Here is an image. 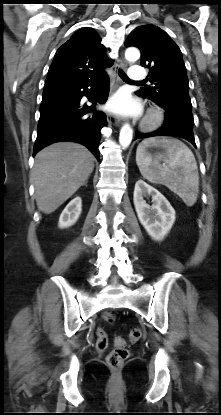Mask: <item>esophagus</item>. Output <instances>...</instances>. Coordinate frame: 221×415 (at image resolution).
Here are the masks:
<instances>
[{
  "mask_svg": "<svg viewBox=\"0 0 221 415\" xmlns=\"http://www.w3.org/2000/svg\"><path fill=\"white\" fill-rule=\"evenodd\" d=\"M127 66L126 62L124 59H119L118 63L115 66V80H116V84H118L119 82V72L120 69H125ZM108 121L111 124L117 125L119 126L122 123V119L119 116L113 115V114H109L108 115Z\"/></svg>",
  "mask_w": 221,
  "mask_h": 415,
  "instance_id": "esophagus-1",
  "label": "esophagus"
}]
</instances>
